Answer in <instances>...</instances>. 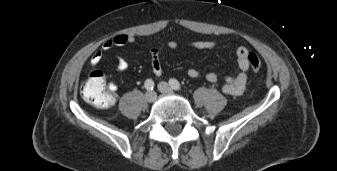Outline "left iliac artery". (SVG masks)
Returning a JSON list of instances; mask_svg holds the SVG:
<instances>
[{
    "label": "left iliac artery",
    "mask_w": 337,
    "mask_h": 171,
    "mask_svg": "<svg viewBox=\"0 0 337 171\" xmlns=\"http://www.w3.org/2000/svg\"><path fill=\"white\" fill-rule=\"evenodd\" d=\"M169 84L173 89L181 90V85L176 79H170Z\"/></svg>",
    "instance_id": "left-iliac-artery-1"
}]
</instances>
